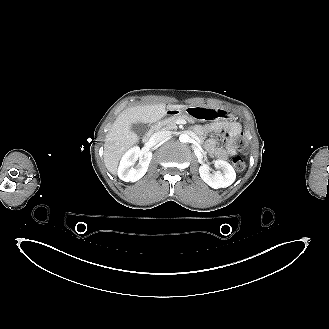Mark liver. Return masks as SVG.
Wrapping results in <instances>:
<instances>
[{
  "label": "liver",
  "mask_w": 329,
  "mask_h": 329,
  "mask_svg": "<svg viewBox=\"0 0 329 329\" xmlns=\"http://www.w3.org/2000/svg\"><path fill=\"white\" fill-rule=\"evenodd\" d=\"M185 105L153 104L133 106L123 110L107 133L104 144V164L108 171L116 175L122 154L139 141L138 136L131 130L137 122L154 123L166 115L167 110L186 108Z\"/></svg>",
  "instance_id": "obj_1"
}]
</instances>
